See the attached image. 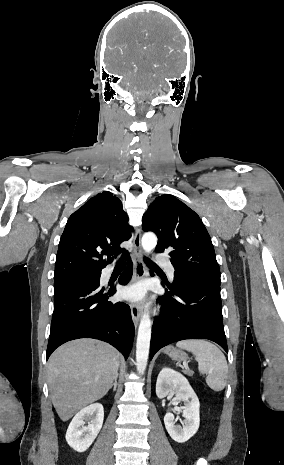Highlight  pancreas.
Wrapping results in <instances>:
<instances>
[{
  "label": "pancreas",
  "mask_w": 284,
  "mask_h": 465,
  "mask_svg": "<svg viewBox=\"0 0 284 465\" xmlns=\"http://www.w3.org/2000/svg\"><path fill=\"white\" fill-rule=\"evenodd\" d=\"M185 375H189V377H192L194 371H184Z\"/></svg>",
  "instance_id": "cf45deb5"
}]
</instances>
